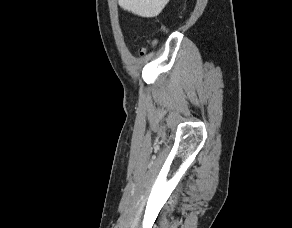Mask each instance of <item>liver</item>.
<instances>
[{
    "instance_id": "obj_1",
    "label": "liver",
    "mask_w": 292,
    "mask_h": 228,
    "mask_svg": "<svg viewBox=\"0 0 292 228\" xmlns=\"http://www.w3.org/2000/svg\"><path fill=\"white\" fill-rule=\"evenodd\" d=\"M169 0H118L124 10L141 17H155L161 13Z\"/></svg>"
}]
</instances>
